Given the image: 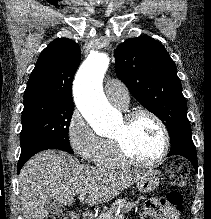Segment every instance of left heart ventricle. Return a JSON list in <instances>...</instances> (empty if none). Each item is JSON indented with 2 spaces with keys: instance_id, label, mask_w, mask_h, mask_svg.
I'll return each instance as SVG.
<instances>
[{
  "instance_id": "b2bd125f",
  "label": "left heart ventricle",
  "mask_w": 211,
  "mask_h": 219,
  "mask_svg": "<svg viewBox=\"0 0 211 219\" xmlns=\"http://www.w3.org/2000/svg\"><path fill=\"white\" fill-rule=\"evenodd\" d=\"M113 136L122 137L127 151L138 160H152L162 149V133L156 122L147 116L138 117L127 127L123 119Z\"/></svg>"
}]
</instances>
